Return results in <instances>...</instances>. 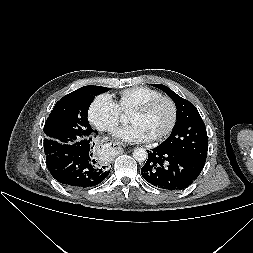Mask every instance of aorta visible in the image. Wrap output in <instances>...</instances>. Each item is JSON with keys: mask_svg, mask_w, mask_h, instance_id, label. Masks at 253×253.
Masks as SVG:
<instances>
[{"mask_svg": "<svg viewBox=\"0 0 253 253\" xmlns=\"http://www.w3.org/2000/svg\"><path fill=\"white\" fill-rule=\"evenodd\" d=\"M133 157L136 161L138 162H143L147 159L148 157V154L146 152L145 149L143 148H136L134 151H133Z\"/></svg>", "mask_w": 253, "mask_h": 253, "instance_id": "obj_1", "label": "aorta"}]
</instances>
